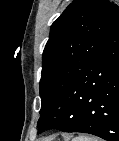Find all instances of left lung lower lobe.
Returning <instances> with one entry per match:
<instances>
[{"instance_id":"left-lung-lower-lobe-1","label":"left lung lower lobe","mask_w":119,"mask_h":141,"mask_svg":"<svg viewBox=\"0 0 119 141\" xmlns=\"http://www.w3.org/2000/svg\"><path fill=\"white\" fill-rule=\"evenodd\" d=\"M38 129L119 141V15L84 71L41 114Z\"/></svg>"}]
</instances>
